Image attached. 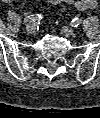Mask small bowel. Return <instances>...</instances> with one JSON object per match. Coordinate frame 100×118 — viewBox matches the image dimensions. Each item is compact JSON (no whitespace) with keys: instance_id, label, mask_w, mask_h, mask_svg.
<instances>
[{"instance_id":"c3829d8e","label":"small bowel","mask_w":100,"mask_h":118,"mask_svg":"<svg viewBox=\"0 0 100 118\" xmlns=\"http://www.w3.org/2000/svg\"><path fill=\"white\" fill-rule=\"evenodd\" d=\"M3 3H9L12 0H1ZM52 4L66 3L73 5L78 11L95 9L98 7L97 0H48Z\"/></svg>"}]
</instances>
